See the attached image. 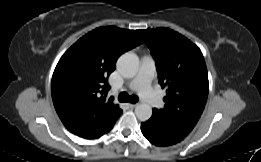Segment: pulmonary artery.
<instances>
[{
  "instance_id": "pulmonary-artery-1",
  "label": "pulmonary artery",
  "mask_w": 261,
  "mask_h": 162,
  "mask_svg": "<svg viewBox=\"0 0 261 162\" xmlns=\"http://www.w3.org/2000/svg\"><path fill=\"white\" fill-rule=\"evenodd\" d=\"M155 74V60L151 55L141 58L140 68L137 75L130 81L128 87L137 91L139 95L156 108L164 106L163 100L151 87V81Z\"/></svg>"
}]
</instances>
